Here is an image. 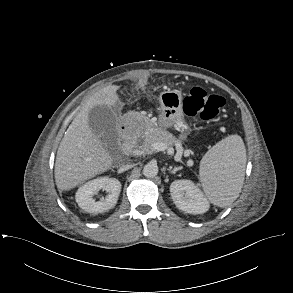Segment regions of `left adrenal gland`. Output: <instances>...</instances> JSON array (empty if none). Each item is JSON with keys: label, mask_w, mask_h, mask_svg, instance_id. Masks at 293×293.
Instances as JSON below:
<instances>
[{"label": "left adrenal gland", "mask_w": 293, "mask_h": 293, "mask_svg": "<svg viewBox=\"0 0 293 293\" xmlns=\"http://www.w3.org/2000/svg\"><path fill=\"white\" fill-rule=\"evenodd\" d=\"M182 166L180 167H174L173 169L170 167L169 172L172 174H175L178 170H181Z\"/></svg>", "instance_id": "left-adrenal-gland-1"}]
</instances>
